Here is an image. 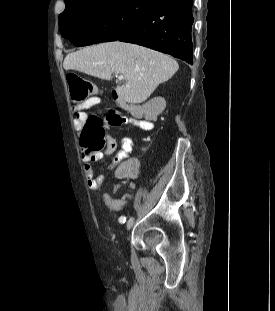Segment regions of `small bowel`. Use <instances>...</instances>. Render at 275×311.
I'll return each mask as SVG.
<instances>
[{"label":"small bowel","instance_id":"c3829d8e","mask_svg":"<svg viewBox=\"0 0 275 311\" xmlns=\"http://www.w3.org/2000/svg\"><path fill=\"white\" fill-rule=\"evenodd\" d=\"M97 104H80L74 109V120L78 134H81V129L85 125L87 120L86 110ZM122 115V114H121ZM123 116V115H122ZM122 124L132 125L143 131H150L154 128L155 123L151 119H143L138 114H134L132 117L123 116ZM117 142L114 138H108V147L104 151L92 152L89 147L83 146L81 148V159L83 162V170L86 177L87 185L91 190H98L104 181L103 175H96L93 167V163L98 161L104 155H110L116 149ZM121 149L116 153L112 162L109 165L110 170H114L115 176L118 180H137V172L139 170V162L136 159L126 160L129 152L132 150L133 140L131 137L124 136L120 138ZM120 165V166H119ZM119 166V169H116ZM107 201L113 205L115 209H120L122 201L108 198ZM109 209L108 205L102 208L103 212Z\"/></svg>","mask_w":275,"mask_h":311}]
</instances>
